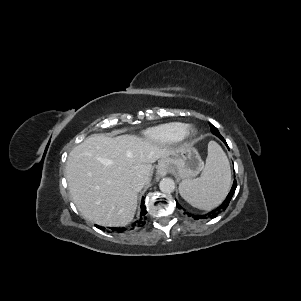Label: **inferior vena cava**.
Masks as SVG:
<instances>
[{"label": "inferior vena cava", "mask_w": 301, "mask_h": 301, "mask_svg": "<svg viewBox=\"0 0 301 301\" xmlns=\"http://www.w3.org/2000/svg\"><path fill=\"white\" fill-rule=\"evenodd\" d=\"M132 185L135 189L141 190L145 185V179L142 176H137L133 179Z\"/></svg>", "instance_id": "1"}]
</instances>
